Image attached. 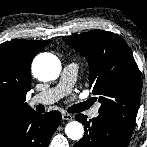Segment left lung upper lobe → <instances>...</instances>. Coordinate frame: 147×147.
<instances>
[{
  "label": "left lung upper lobe",
  "instance_id": "1",
  "mask_svg": "<svg viewBox=\"0 0 147 147\" xmlns=\"http://www.w3.org/2000/svg\"><path fill=\"white\" fill-rule=\"evenodd\" d=\"M89 63V87L99 96V116L133 132L141 95L138 66L126 42L117 34L92 30L63 38Z\"/></svg>",
  "mask_w": 147,
  "mask_h": 147
}]
</instances>
